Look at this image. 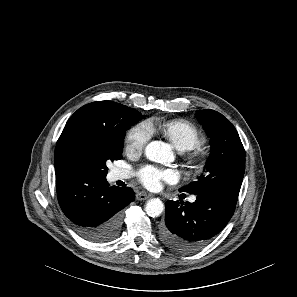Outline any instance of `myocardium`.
Wrapping results in <instances>:
<instances>
[{"mask_svg": "<svg viewBox=\"0 0 297 297\" xmlns=\"http://www.w3.org/2000/svg\"><path fill=\"white\" fill-rule=\"evenodd\" d=\"M188 159L198 168L206 161L207 154L200 147H195L187 151Z\"/></svg>", "mask_w": 297, "mask_h": 297, "instance_id": "1", "label": "myocardium"}]
</instances>
